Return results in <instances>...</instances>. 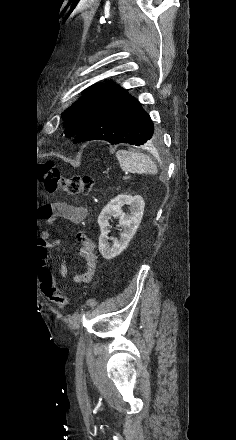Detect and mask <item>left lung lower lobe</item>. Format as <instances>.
I'll return each mask as SVG.
<instances>
[{"mask_svg": "<svg viewBox=\"0 0 236 440\" xmlns=\"http://www.w3.org/2000/svg\"><path fill=\"white\" fill-rule=\"evenodd\" d=\"M91 140L135 146L154 145L159 141V133L139 101L124 91L98 111L73 142Z\"/></svg>", "mask_w": 236, "mask_h": 440, "instance_id": "1", "label": "left lung lower lobe"}]
</instances>
